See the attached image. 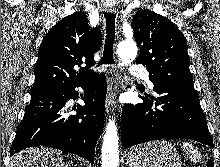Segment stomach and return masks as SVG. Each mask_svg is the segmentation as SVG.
<instances>
[{"label": "stomach", "instance_id": "0dacf381", "mask_svg": "<svg viewBox=\"0 0 220 167\" xmlns=\"http://www.w3.org/2000/svg\"><path fill=\"white\" fill-rule=\"evenodd\" d=\"M129 167H181L182 161L174 145L153 141L132 147L126 153Z\"/></svg>", "mask_w": 220, "mask_h": 167}]
</instances>
